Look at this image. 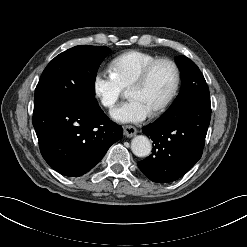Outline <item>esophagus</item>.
Returning <instances> with one entry per match:
<instances>
[{"label":"esophagus","instance_id":"obj_1","mask_svg":"<svg viewBox=\"0 0 247 247\" xmlns=\"http://www.w3.org/2000/svg\"><path fill=\"white\" fill-rule=\"evenodd\" d=\"M123 129H124V135L126 137L131 138L137 134V129L134 126L126 125L123 127Z\"/></svg>","mask_w":247,"mask_h":247}]
</instances>
